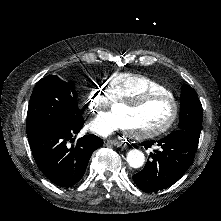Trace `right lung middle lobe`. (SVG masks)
<instances>
[{
	"label": "right lung middle lobe",
	"instance_id": "right-lung-middle-lobe-1",
	"mask_svg": "<svg viewBox=\"0 0 221 221\" xmlns=\"http://www.w3.org/2000/svg\"><path fill=\"white\" fill-rule=\"evenodd\" d=\"M73 82L57 75L44 77L33 89L27 114V136L48 128H62L82 120Z\"/></svg>",
	"mask_w": 221,
	"mask_h": 221
}]
</instances>
